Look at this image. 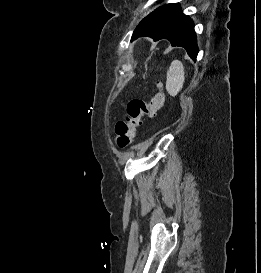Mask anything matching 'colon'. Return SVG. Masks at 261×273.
I'll list each match as a JSON object with an SVG mask.
<instances>
[{
	"label": "colon",
	"mask_w": 261,
	"mask_h": 273,
	"mask_svg": "<svg viewBox=\"0 0 261 273\" xmlns=\"http://www.w3.org/2000/svg\"><path fill=\"white\" fill-rule=\"evenodd\" d=\"M159 86V85H158ZM165 103V95L161 89L148 102L141 99H131L127 103V117L115 125V139L118 147L127 148L135 138L137 129L143 119L154 118Z\"/></svg>",
	"instance_id": "5ec220e1"
}]
</instances>
